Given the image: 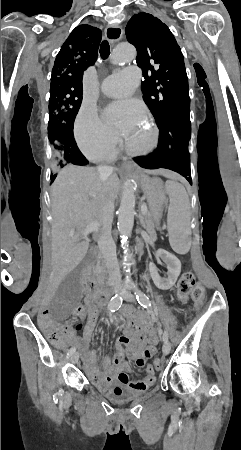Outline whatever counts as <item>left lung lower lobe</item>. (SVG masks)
Masks as SVG:
<instances>
[{"instance_id": "1", "label": "left lung lower lobe", "mask_w": 241, "mask_h": 450, "mask_svg": "<svg viewBox=\"0 0 241 450\" xmlns=\"http://www.w3.org/2000/svg\"><path fill=\"white\" fill-rule=\"evenodd\" d=\"M190 104L179 106L157 123L160 133L156 150L135 162L146 169L166 168L178 172L192 184L188 141L191 136Z\"/></svg>"}]
</instances>
